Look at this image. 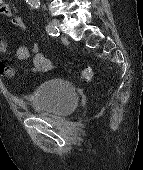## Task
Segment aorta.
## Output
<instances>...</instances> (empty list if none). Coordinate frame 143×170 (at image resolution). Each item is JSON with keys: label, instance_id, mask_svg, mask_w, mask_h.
Here are the masks:
<instances>
[{"label": "aorta", "instance_id": "obj_1", "mask_svg": "<svg viewBox=\"0 0 143 170\" xmlns=\"http://www.w3.org/2000/svg\"><path fill=\"white\" fill-rule=\"evenodd\" d=\"M26 2L32 7V8H38L40 5L39 0H26Z\"/></svg>", "mask_w": 143, "mask_h": 170}]
</instances>
